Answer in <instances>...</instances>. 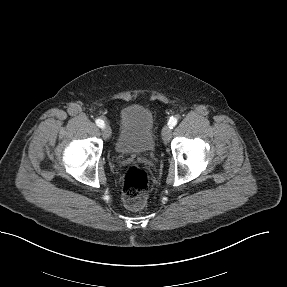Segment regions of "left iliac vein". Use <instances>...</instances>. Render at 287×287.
<instances>
[{"mask_svg":"<svg viewBox=\"0 0 287 287\" xmlns=\"http://www.w3.org/2000/svg\"><path fill=\"white\" fill-rule=\"evenodd\" d=\"M162 139L164 141V143H168L171 139V129L169 126H165L162 129Z\"/></svg>","mask_w":287,"mask_h":287,"instance_id":"left-iliac-vein-1","label":"left iliac vein"}]
</instances>
